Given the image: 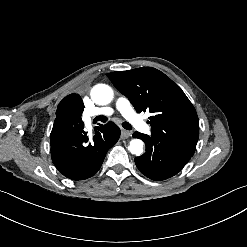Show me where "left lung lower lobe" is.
<instances>
[{
  "label": "left lung lower lobe",
  "mask_w": 247,
  "mask_h": 247,
  "mask_svg": "<svg viewBox=\"0 0 247 247\" xmlns=\"http://www.w3.org/2000/svg\"><path fill=\"white\" fill-rule=\"evenodd\" d=\"M133 137L143 140L146 144V152L136 157L135 163L140 172L152 180H165L176 175L192 157L175 147L159 142L153 136L135 132Z\"/></svg>",
  "instance_id": "0a47b994"
}]
</instances>
